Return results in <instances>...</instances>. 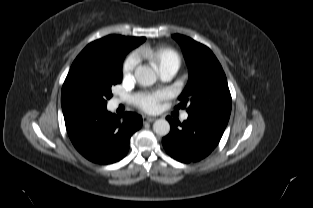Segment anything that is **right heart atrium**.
Listing matches in <instances>:
<instances>
[{"instance_id": "1", "label": "right heart atrium", "mask_w": 313, "mask_h": 208, "mask_svg": "<svg viewBox=\"0 0 313 208\" xmlns=\"http://www.w3.org/2000/svg\"><path fill=\"white\" fill-rule=\"evenodd\" d=\"M138 63V57L135 54L130 55L126 58L124 64H123V76L125 78H128L132 75L135 67Z\"/></svg>"}]
</instances>
